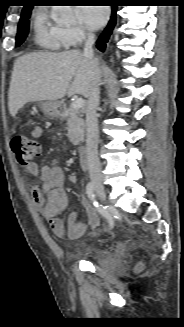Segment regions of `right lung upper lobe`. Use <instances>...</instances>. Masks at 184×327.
<instances>
[{
	"mask_svg": "<svg viewBox=\"0 0 184 327\" xmlns=\"http://www.w3.org/2000/svg\"><path fill=\"white\" fill-rule=\"evenodd\" d=\"M29 10H32V6H30V5H25L24 8H23V10H22V13H23V12H26V11H29Z\"/></svg>",
	"mask_w": 184,
	"mask_h": 327,
	"instance_id": "1",
	"label": "right lung upper lobe"
}]
</instances>
